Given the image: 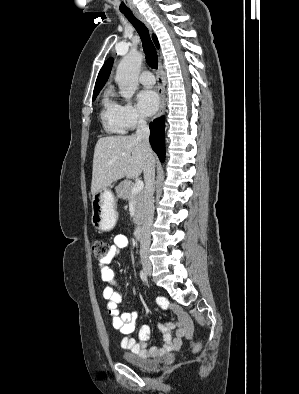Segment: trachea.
Returning a JSON list of instances; mask_svg holds the SVG:
<instances>
[{"mask_svg":"<svg viewBox=\"0 0 299 394\" xmlns=\"http://www.w3.org/2000/svg\"><path fill=\"white\" fill-rule=\"evenodd\" d=\"M121 13L129 20V22L134 26L143 44V50L146 55V62L147 64L153 68L157 69L158 67V56L155 51L154 45L150 39L149 31L147 27L136 19L131 11H121Z\"/></svg>","mask_w":299,"mask_h":394,"instance_id":"3493384b","label":"trachea"}]
</instances>
